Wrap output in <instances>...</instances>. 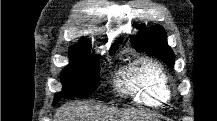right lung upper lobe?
<instances>
[{
    "label": "right lung upper lobe",
    "mask_w": 217,
    "mask_h": 121,
    "mask_svg": "<svg viewBox=\"0 0 217 121\" xmlns=\"http://www.w3.org/2000/svg\"><path fill=\"white\" fill-rule=\"evenodd\" d=\"M119 41H120V40H119ZM87 45H89L88 39L82 38V40L80 41V44H79V45H75V46L72 47V48L83 47V46H87ZM117 47H118V43H114L113 46H112L111 51L114 50V49H117ZM111 51H110V52H111Z\"/></svg>",
    "instance_id": "obj_1"
}]
</instances>
